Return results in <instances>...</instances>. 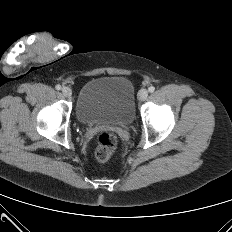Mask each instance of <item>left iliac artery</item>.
Returning <instances> with one entry per match:
<instances>
[{
	"instance_id": "1",
	"label": "left iliac artery",
	"mask_w": 232,
	"mask_h": 232,
	"mask_svg": "<svg viewBox=\"0 0 232 232\" xmlns=\"http://www.w3.org/2000/svg\"><path fill=\"white\" fill-rule=\"evenodd\" d=\"M148 90H149L150 93H153L155 91V87L154 86H150L148 88Z\"/></svg>"
}]
</instances>
